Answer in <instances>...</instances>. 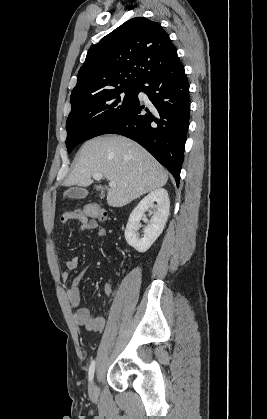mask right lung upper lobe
Instances as JSON below:
<instances>
[{
	"label": "right lung upper lobe",
	"instance_id": "cb5924a9",
	"mask_svg": "<svg viewBox=\"0 0 267 419\" xmlns=\"http://www.w3.org/2000/svg\"><path fill=\"white\" fill-rule=\"evenodd\" d=\"M178 61L176 48L159 23L130 19L89 49L71 104L97 93L138 87L148 75Z\"/></svg>",
	"mask_w": 267,
	"mask_h": 419
}]
</instances>
